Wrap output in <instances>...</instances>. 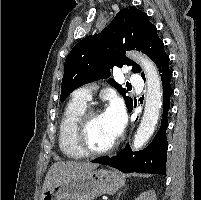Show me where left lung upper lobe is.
Returning <instances> with one entry per match:
<instances>
[{
    "mask_svg": "<svg viewBox=\"0 0 201 200\" xmlns=\"http://www.w3.org/2000/svg\"><path fill=\"white\" fill-rule=\"evenodd\" d=\"M132 49L142 51L155 63L165 53L156 27L149 21L146 13L134 6L120 10L100 34L82 39L67 55L61 84V101L85 83L110 77V69L114 66L131 65L133 73L141 72L140 66L125 56L126 50ZM109 81L122 94L130 110L133 101L125 95L126 89L111 78Z\"/></svg>",
    "mask_w": 201,
    "mask_h": 200,
    "instance_id": "left-lung-upper-lobe-1",
    "label": "left lung upper lobe"
}]
</instances>
